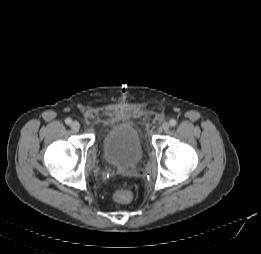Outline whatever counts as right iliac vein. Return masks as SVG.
I'll use <instances>...</instances> for the list:
<instances>
[{"instance_id": "63e3f726", "label": "right iliac vein", "mask_w": 261, "mask_h": 254, "mask_svg": "<svg viewBox=\"0 0 261 254\" xmlns=\"http://www.w3.org/2000/svg\"><path fill=\"white\" fill-rule=\"evenodd\" d=\"M70 127L73 131L77 132L80 129V124L77 121H73Z\"/></svg>"}]
</instances>
